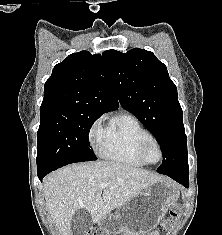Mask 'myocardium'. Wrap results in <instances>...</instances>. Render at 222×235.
<instances>
[{"label": "myocardium", "mask_w": 222, "mask_h": 235, "mask_svg": "<svg viewBox=\"0 0 222 235\" xmlns=\"http://www.w3.org/2000/svg\"><path fill=\"white\" fill-rule=\"evenodd\" d=\"M152 144L155 145L159 150V159L155 162L148 161V159L146 157V151H147L148 147ZM137 154H138L139 159L145 165H156V164L160 163L164 157L163 148H162L161 144L158 142V140L155 139L154 137L151 139H146V140L142 141L138 147Z\"/></svg>", "instance_id": "f54148a6"}]
</instances>
